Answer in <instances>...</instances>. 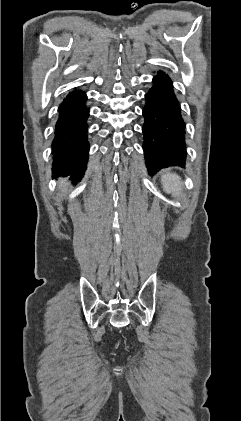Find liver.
Wrapping results in <instances>:
<instances>
[{
	"label": "liver",
	"instance_id": "1",
	"mask_svg": "<svg viewBox=\"0 0 241 421\" xmlns=\"http://www.w3.org/2000/svg\"><path fill=\"white\" fill-rule=\"evenodd\" d=\"M66 185V181L65 180H61L60 181V187H64Z\"/></svg>",
	"mask_w": 241,
	"mask_h": 421
}]
</instances>
